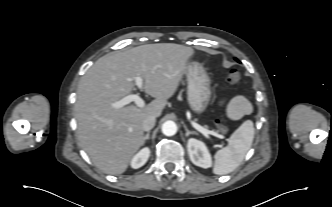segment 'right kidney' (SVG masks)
Wrapping results in <instances>:
<instances>
[{
  "label": "right kidney",
  "instance_id": "ca27d5eb",
  "mask_svg": "<svg viewBox=\"0 0 332 207\" xmlns=\"http://www.w3.org/2000/svg\"><path fill=\"white\" fill-rule=\"evenodd\" d=\"M150 156L149 148H143L140 150L131 160V167L134 169L142 167Z\"/></svg>",
  "mask_w": 332,
  "mask_h": 207
}]
</instances>
